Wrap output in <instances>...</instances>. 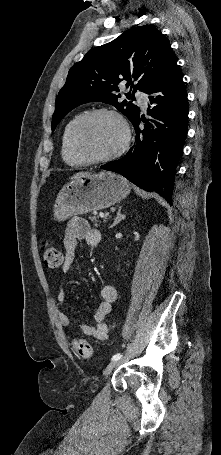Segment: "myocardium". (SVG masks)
Listing matches in <instances>:
<instances>
[{
	"instance_id": "obj_1",
	"label": "myocardium",
	"mask_w": 221,
	"mask_h": 455,
	"mask_svg": "<svg viewBox=\"0 0 221 455\" xmlns=\"http://www.w3.org/2000/svg\"><path fill=\"white\" fill-rule=\"evenodd\" d=\"M99 115H110L116 118L123 129V142L120 145V147L115 150L114 152L102 156V157H90L87 155L84 150L80 146V141H79V136H80V131L82 126L91 118ZM72 146L76 154L85 161L87 164H98V163H106L110 162L118 157H120L123 153L126 152L128 149L130 142H131V130L128 121L126 118L117 110L112 109V108H97L90 110L84 114H82L77 121L75 122L73 129H72Z\"/></svg>"
}]
</instances>
